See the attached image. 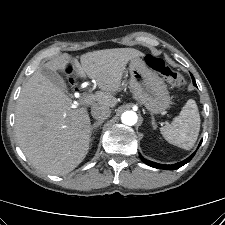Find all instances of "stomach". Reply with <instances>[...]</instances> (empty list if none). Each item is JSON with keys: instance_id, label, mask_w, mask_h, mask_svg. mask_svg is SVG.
<instances>
[{"instance_id": "obj_1", "label": "stomach", "mask_w": 225, "mask_h": 225, "mask_svg": "<svg viewBox=\"0 0 225 225\" xmlns=\"http://www.w3.org/2000/svg\"><path fill=\"white\" fill-rule=\"evenodd\" d=\"M129 72L133 97L149 112L158 114L170 106L171 98L166 84L142 58L131 59Z\"/></svg>"}]
</instances>
